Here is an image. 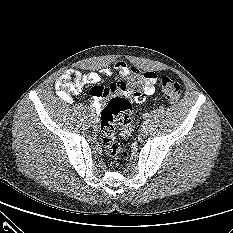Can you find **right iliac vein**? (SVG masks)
Here are the masks:
<instances>
[{
	"label": "right iliac vein",
	"mask_w": 233,
	"mask_h": 233,
	"mask_svg": "<svg viewBox=\"0 0 233 233\" xmlns=\"http://www.w3.org/2000/svg\"><path fill=\"white\" fill-rule=\"evenodd\" d=\"M91 122H92V124L93 125H97L98 124V122H99V120H98V118H97V116H92L91 117Z\"/></svg>",
	"instance_id": "obj_1"
}]
</instances>
